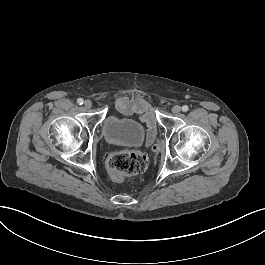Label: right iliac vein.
<instances>
[{"mask_svg":"<svg viewBox=\"0 0 265 265\" xmlns=\"http://www.w3.org/2000/svg\"><path fill=\"white\" fill-rule=\"evenodd\" d=\"M84 106L85 108L90 109L92 107V102L90 100H86L84 102Z\"/></svg>","mask_w":265,"mask_h":265,"instance_id":"obj_1","label":"right iliac vein"}]
</instances>
